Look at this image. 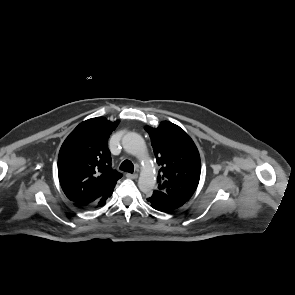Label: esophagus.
Masks as SVG:
<instances>
[{
	"label": "esophagus",
	"instance_id": "obj_1",
	"mask_svg": "<svg viewBox=\"0 0 295 295\" xmlns=\"http://www.w3.org/2000/svg\"><path fill=\"white\" fill-rule=\"evenodd\" d=\"M126 177L130 178V179H136L138 177V174H136V173H133V174L132 173H127Z\"/></svg>",
	"mask_w": 295,
	"mask_h": 295
}]
</instances>
